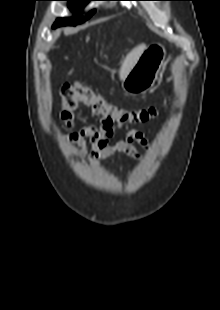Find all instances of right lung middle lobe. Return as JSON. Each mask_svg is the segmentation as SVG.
I'll use <instances>...</instances> for the list:
<instances>
[{"instance_id": "right-lung-middle-lobe-1", "label": "right lung middle lobe", "mask_w": 220, "mask_h": 310, "mask_svg": "<svg viewBox=\"0 0 220 310\" xmlns=\"http://www.w3.org/2000/svg\"><path fill=\"white\" fill-rule=\"evenodd\" d=\"M68 1V7L69 9L74 12L76 15L73 18H59L56 20V22L53 25V28L64 26V25H76L79 23H82L86 21L88 18L92 16V14L95 12V10H92L89 12V14L86 17H81L79 13L82 11V9L87 5L89 1L93 0H65Z\"/></svg>"}]
</instances>
